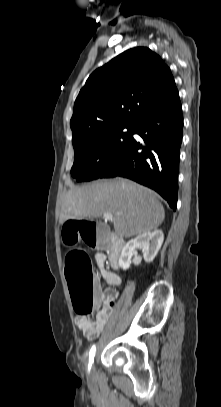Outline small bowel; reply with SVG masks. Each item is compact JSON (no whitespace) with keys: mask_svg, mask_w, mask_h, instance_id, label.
Segmentation results:
<instances>
[{"mask_svg":"<svg viewBox=\"0 0 221 407\" xmlns=\"http://www.w3.org/2000/svg\"><path fill=\"white\" fill-rule=\"evenodd\" d=\"M94 260L100 271L103 283L106 285L107 288L103 291L97 289L98 306L100 307V309L96 315L95 320H91L90 318L85 316L76 317V324L78 328L89 340L97 338L104 330L114 307V300L118 296L117 291L114 290L113 287L118 286L121 282L118 275L106 268L107 257L104 253H96L94 255ZM105 296H108L109 299L106 300Z\"/></svg>","mask_w":221,"mask_h":407,"instance_id":"small-bowel-1","label":"small bowel"}]
</instances>
